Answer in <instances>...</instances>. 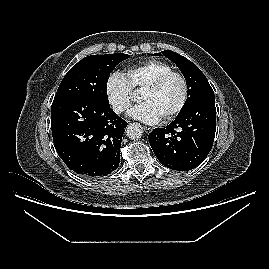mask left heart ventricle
Instances as JSON below:
<instances>
[{
    "label": "left heart ventricle",
    "mask_w": 269,
    "mask_h": 269,
    "mask_svg": "<svg viewBox=\"0 0 269 269\" xmlns=\"http://www.w3.org/2000/svg\"><path fill=\"white\" fill-rule=\"evenodd\" d=\"M183 96V84L180 78L174 76L157 91H142L141 100L149 102L160 118L171 112L181 101Z\"/></svg>",
    "instance_id": "b2bd125f"
}]
</instances>
